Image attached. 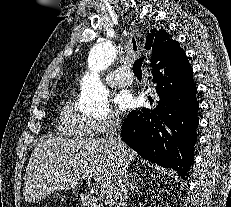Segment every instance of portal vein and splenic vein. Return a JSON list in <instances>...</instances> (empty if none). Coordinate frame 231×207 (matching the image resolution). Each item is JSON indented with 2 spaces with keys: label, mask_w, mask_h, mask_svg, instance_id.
<instances>
[{
  "label": "portal vein and splenic vein",
  "mask_w": 231,
  "mask_h": 207,
  "mask_svg": "<svg viewBox=\"0 0 231 207\" xmlns=\"http://www.w3.org/2000/svg\"><path fill=\"white\" fill-rule=\"evenodd\" d=\"M83 179H91V177L88 174H84L82 176ZM92 191L95 192L98 196H103V188L98 186L97 188L92 187Z\"/></svg>",
  "instance_id": "obj_1"
}]
</instances>
